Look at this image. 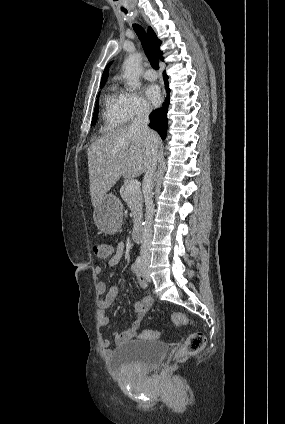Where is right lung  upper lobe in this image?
<instances>
[{"label": "right lung upper lobe", "mask_w": 285, "mask_h": 424, "mask_svg": "<svg viewBox=\"0 0 285 424\" xmlns=\"http://www.w3.org/2000/svg\"><path fill=\"white\" fill-rule=\"evenodd\" d=\"M148 34H149V37H150V39H151V41L153 43V46H154V48H155V50H156L159 58L161 60H163V57H162V54L163 53H162V51H160L161 41L157 38L155 32L153 31V29L151 27L148 28ZM109 65L110 64L107 65V67L105 68V70L103 72L102 79H101V86H104V84H105V82L107 80V77H108V67H109Z\"/></svg>", "instance_id": "right-lung-upper-lobe-1"}]
</instances>
